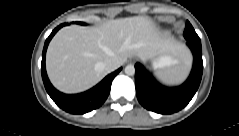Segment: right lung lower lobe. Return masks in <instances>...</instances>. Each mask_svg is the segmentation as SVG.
Returning <instances> with one entry per match:
<instances>
[{"label":"right lung lower lobe","instance_id":"obj_1","mask_svg":"<svg viewBox=\"0 0 239 136\" xmlns=\"http://www.w3.org/2000/svg\"><path fill=\"white\" fill-rule=\"evenodd\" d=\"M65 25L67 24L63 23L55 28L45 41L41 62L42 79L47 93L61 109L72 114H84L99 108L105 102L110 93L112 80L122 68H119L115 72L109 74L99 84L86 92L68 95L56 90L50 83L46 73L45 55L50 40L54 34Z\"/></svg>","mask_w":239,"mask_h":136}]
</instances>
